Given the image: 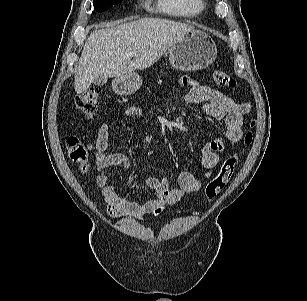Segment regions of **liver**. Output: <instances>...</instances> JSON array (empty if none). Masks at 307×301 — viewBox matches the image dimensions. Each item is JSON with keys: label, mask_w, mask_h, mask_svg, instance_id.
Returning <instances> with one entry per match:
<instances>
[{"label": "liver", "mask_w": 307, "mask_h": 301, "mask_svg": "<svg viewBox=\"0 0 307 301\" xmlns=\"http://www.w3.org/2000/svg\"><path fill=\"white\" fill-rule=\"evenodd\" d=\"M194 27L161 18H142L93 31L84 44L74 88L84 93L99 75L121 77L157 62L187 31ZM129 52H136L133 60Z\"/></svg>", "instance_id": "liver-1"}]
</instances>
